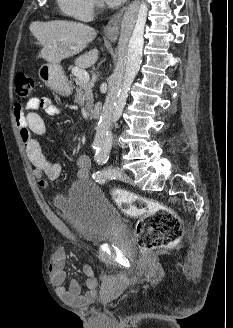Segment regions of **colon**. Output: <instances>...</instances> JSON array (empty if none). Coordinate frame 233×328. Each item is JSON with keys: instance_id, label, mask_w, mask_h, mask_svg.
Returning a JSON list of instances; mask_svg holds the SVG:
<instances>
[{"instance_id": "obj_1", "label": "colon", "mask_w": 233, "mask_h": 328, "mask_svg": "<svg viewBox=\"0 0 233 328\" xmlns=\"http://www.w3.org/2000/svg\"><path fill=\"white\" fill-rule=\"evenodd\" d=\"M14 83L20 99L28 98L34 91L35 82L30 75L17 73ZM112 197L125 215L139 218L135 234L143 252L171 246L182 236L180 218L166 206L121 190L113 191Z\"/></svg>"}]
</instances>
